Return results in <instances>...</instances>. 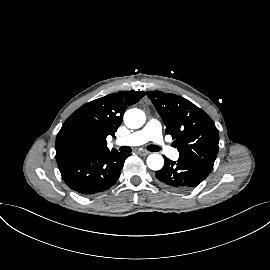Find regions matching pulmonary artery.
<instances>
[{"mask_svg": "<svg viewBox=\"0 0 270 270\" xmlns=\"http://www.w3.org/2000/svg\"><path fill=\"white\" fill-rule=\"evenodd\" d=\"M147 141H153L165 155L172 159H176L179 155L178 151L164 140L161 124L156 119H150L142 129L117 139L118 144L130 146L141 145Z\"/></svg>", "mask_w": 270, "mask_h": 270, "instance_id": "pulmonary-artery-1", "label": "pulmonary artery"}]
</instances>
